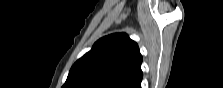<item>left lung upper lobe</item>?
<instances>
[{
  "label": "left lung upper lobe",
  "mask_w": 223,
  "mask_h": 88,
  "mask_svg": "<svg viewBox=\"0 0 223 88\" xmlns=\"http://www.w3.org/2000/svg\"><path fill=\"white\" fill-rule=\"evenodd\" d=\"M142 56L125 33L99 39L70 69L62 88H141Z\"/></svg>",
  "instance_id": "1"
}]
</instances>
